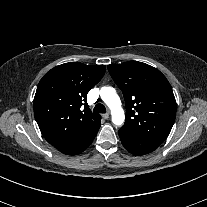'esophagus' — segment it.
Returning <instances> with one entry per match:
<instances>
[{
	"mask_svg": "<svg viewBox=\"0 0 207 207\" xmlns=\"http://www.w3.org/2000/svg\"><path fill=\"white\" fill-rule=\"evenodd\" d=\"M109 116H110L109 113L103 114V118H104V119H108Z\"/></svg>",
	"mask_w": 207,
	"mask_h": 207,
	"instance_id": "esophagus-1",
	"label": "esophagus"
}]
</instances>
